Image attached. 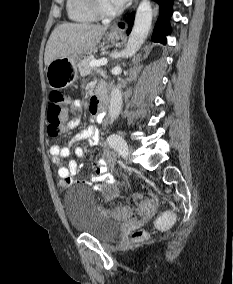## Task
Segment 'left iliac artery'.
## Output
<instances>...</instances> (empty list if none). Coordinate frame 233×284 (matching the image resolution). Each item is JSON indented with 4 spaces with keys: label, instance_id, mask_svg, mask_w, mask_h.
Listing matches in <instances>:
<instances>
[{
    "label": "left iliac artery",
    "instance_id": "1",
    "mask_svg": "<svg viewBox=\"0 0 233 284\" xmlns=\"http://www.w3.org/2000/svg\"><path fill=\"white\" fill-rule=\"evenodd\" d=\"M107 142L110 147L114 148L117 152L124 155L127 149V143L121 136L111 135L108 137Z\"/></svg>",
    "mask_w": 233,
    "mask_h": 284
}]
</instances>
